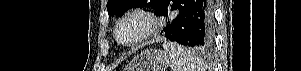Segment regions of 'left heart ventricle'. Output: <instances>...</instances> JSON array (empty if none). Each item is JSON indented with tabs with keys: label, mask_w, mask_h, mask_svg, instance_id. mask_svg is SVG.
<instances>
[{
	"label": "left heart ventricle",
	"mask_w": 301,
	"mask_h": 71,
	"mask_svg": "<svg viewBox=\"0 0 301 71\" xmlns=\"http://www.w3.org/2000/svg\"><path fill=\"white\" fill-rule=\"evenodd\" d=\"M143 23L138 19H131L124 22L119 30L120 39L124 42L134 40L142 31Z\"/></svg>",
	"instance_id": "b2bd125f"
}]
</instances>
